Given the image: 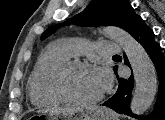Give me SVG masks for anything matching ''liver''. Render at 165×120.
Returning a JSON list of instances; mask_svg holds the SVG:
<instances>
[{
    "label": "liver",
    "mask_w": 165,
    "mask_h": 120,
    "mask_svg": "<svg viewBox=\"0 0 165 120\" xmlns=\"http://www.w3.org/2000/svg\"><path fill=\"white\" fill-rule=\"evenodd\" d=\"M77 110H79V109L66 107V108H54L51 111L56 112V113H74Z\"/></svg>",
    "instance_id": "1"
}]
</instances>
